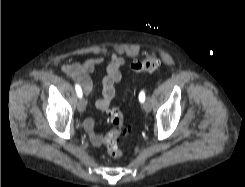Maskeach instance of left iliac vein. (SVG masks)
<instances>
[{"label":"left iliac vein","mask_w":245,"mask_h":187,"mask_svg":"<svg viewBox=\"0 0 245 187\" xmlns=\"http://www.w3.org/2000/svg\"><path fill=\"white\" fill-rule=\"evenodd\" d=\"M143 109L145 110V112H150L151 111V101L149 99H147L143 103Z\"/></svg>","instance_id":"1"}]
</instances>
